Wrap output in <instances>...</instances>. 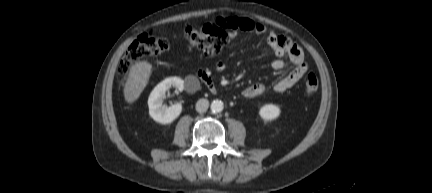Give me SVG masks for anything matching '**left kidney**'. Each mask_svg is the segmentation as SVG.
<instances>
[{
	"label": "left kidney",
	"mask_w": 432,
	"mask_h": 193,
	"mask_svg": "<svg viewBox=\"0 0 432 193\" xmlns=\"http://www.w3.org/2000/svg\"><path fill=\"white\" fill-rule=\"evenodd\" d=\"M281 110L277 105L265 104L259 110V115L263 120L272 121L280 116Z\"/></svg>",
	"instance_id": "left-kidney-1"
}]
</instances>
